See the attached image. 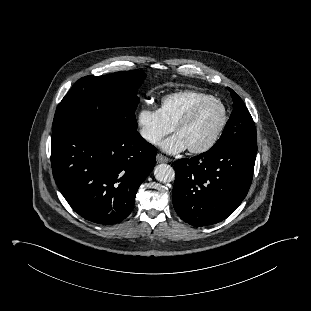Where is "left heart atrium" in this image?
<instances>
[{
    "mask_svg": "<svg viewBox=\"0 0 311 311\" xmlns=\"http://www.w3.org/2000/svg\"><path fill=\"white\" fill-rule=\"evenodd\" d=\"M161 149L169 154H176L187 149V145L180 135L175 134L161 143Z\"/></svg>",
    "mask_w": 311,
    "mask_h": 311,
    "instance_id": "39dd6f15",
    "label": "left heart atrium"
}]
</instances>
